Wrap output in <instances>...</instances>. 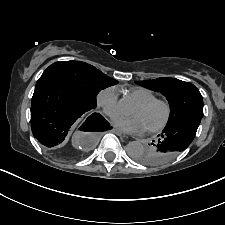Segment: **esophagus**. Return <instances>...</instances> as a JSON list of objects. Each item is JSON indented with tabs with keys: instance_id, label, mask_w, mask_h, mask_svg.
<instances>
[{
	"instance_id": "1",
	"label": "esophagus",
	"mask_w": 225,
	"mask_h": 225,
	"mask_svg": "<svg viewBox=\"0 0 225 225\" xmlns=\"http://www.w3.org/2000/svg\"><path fill=\"white\" fill-rule=\"evenodd\" d=\"M113 132L114 133H116V134H118V135H123V136H125L124 134H123V132L121 131V130H119L118 128H113Z\"/></svg>"
}]
</instances>
